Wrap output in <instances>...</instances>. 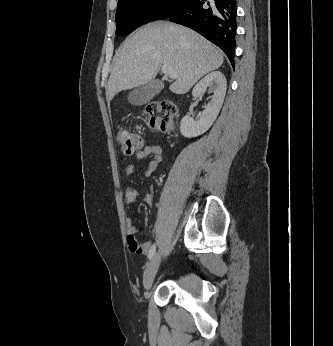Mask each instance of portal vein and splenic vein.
I'll return each instance as SVG.
<instances>
[{
  "label": "portal vein and splenic vein",
  "instance_id": "1",
  "mask_svg": "<svg viewBox=\"0 0 333 346\" xmlns=\"http://www.w3.org/2000/svg\"><path fill=\"white\" fill-rule=\"evenodd\" d=\"M161 71L163 72V74L166 76V77H169L171 79H176L177 78V73L174 69H172L171 67L169 66H165L163 65L161 67Z\"/></svg>",
  "mask_w": 333,
  "mask_h": 346
}]
</instances>
